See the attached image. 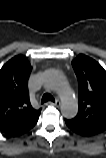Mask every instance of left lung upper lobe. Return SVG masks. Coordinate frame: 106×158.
<instances>
[{"mask_svg":"<svg viewBox=\"0 0 106 158\" xmlns=\"http://www.w3.org/2000/svg\"><path fill=\"white\" fill-rule=\"evenodd\" d=\"M72 66L79 83L78 113L65 119L75 133L89 137L106 130V71L92 58L80 54Z\"/></svg>","mask_w":106,"mask_h":158,"instance_id":"left-lung-upper-lobe-1","label":"left lung upper lobe"}]
</instances>
